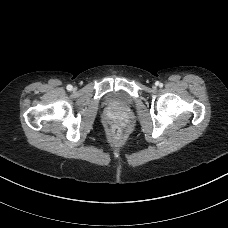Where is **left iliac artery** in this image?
<instances>
[{
    "label": "left iliac artery",
    "instance_id": "44dca946",
    "mask_svg": "<svg viewBox=\"0 0 228 228\" xmlns=\"http://www.w3.org/2000/svg\"><path fill=\"white\" fill-rule=\"evenodd\" d=\"M156 85H158V86H160V87L163 86L162 83H160V82H156Z\"/></svg>",
    "mask_w": 228,
    "mask_h": 228
}]
</instances>
